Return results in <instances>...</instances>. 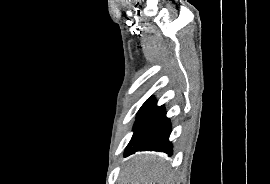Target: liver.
<instances>
[{"label": "liver", "instance_id": "obj_1", "mask_svg": "<svg viewBox=\"0 0 270 184\" xmlns=\"http://www.w3.org/2000/svg\"><path fill=\"white\" fill-rule=\"evenodd\" d=\"M171 175L160 158L151 153H139L123 166L119 184H169Z\"/></svg>", "mask_w": 270, "mask_h": 184}]
</instances>
